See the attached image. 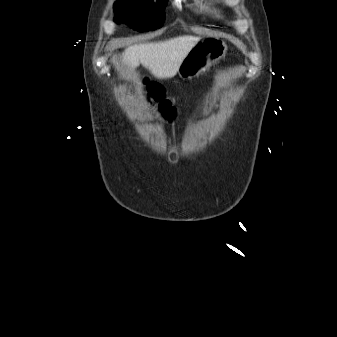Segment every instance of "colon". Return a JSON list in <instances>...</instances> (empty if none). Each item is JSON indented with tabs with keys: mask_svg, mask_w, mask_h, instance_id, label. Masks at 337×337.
I'll return each mask as SVG.
<instances>
[{
	"mask_svg": "<svg viewBox=\"0 0 337 337\" xmlns=\"http://www.w3.org/2000/svg\"><path fill=\"white\" fill-rule=\"evenodd\" d=\"M147 87L155 101L159 102L160 109L171 116L173 113V108L170 101L165 99V94L162 87L155 83H147Z\"/></svg>",
	"mask_w": 337,
	"mask_h": 337,
	"instance_id": "colon-1",
	"label": "colon"
}]
</instances>
